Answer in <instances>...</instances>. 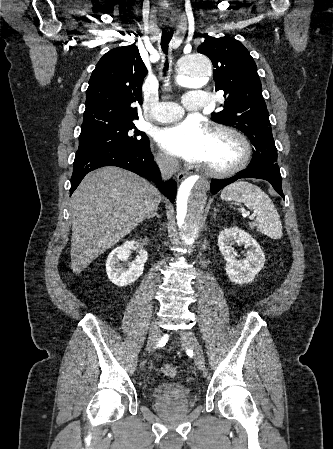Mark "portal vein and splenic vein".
Returning a JSON list of instances; mask_svg holds the SVG:
<instances>
[{
    "mask_svg": "<svg viewBox=\"0 0 333 449\" xmlns=\"http://www.w3.org/2000/svg\"><path fill=\"white\" fill-rule=\"evenodd\" d=\"M249 219H250V220H253V219H254V215H250V216H249Z\"/></svg>",
    "mask_w": 333,
    "mask_h": 449,
    "instance_id": "18ae733b",
    "label": "portal vein and splenic vein"
}]
</instances>
